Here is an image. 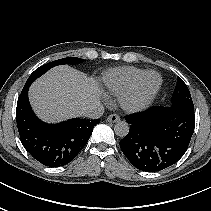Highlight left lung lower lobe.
<instances>
[{"label": "left lung lower lobe", "mask_w": 211, "mask_h": 211, "mask_svg": "<svg viewBox=\"0 0 211 211\" xmlns=\"http://www.w3.org/2000/svg\"><path fill=\"white\" fill-rule=\"evenodd\" d=\"M129 133L120 148L137 169L156 172L175 164L186 152L195 127L194 111L153 106L125 117Z\"/></svg>", "instance_id": "left-lung-lower-lobe-1"}]
</instances>
